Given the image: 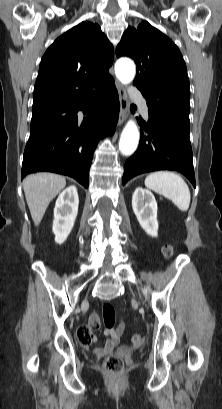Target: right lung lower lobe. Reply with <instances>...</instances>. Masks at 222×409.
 Instances as JSON below:
<instances>
[{
	"mask_svg": "<svg viewBox=\"0 0 222 409\" xmlns=\"http://www.w3.org/2000/svg\"><path fill=\"white\" fill-rule=\"evenodd\" d=\"M119 107L110 76L77 99L33 110L22 179L30 173L50 171L73 177L87 188L94 150L101 137L114 133ZM78 111L86 116L79 117Z\"/></svg>",
	"mask_w": 222,
	"mask_h": 409,
	"instance_id": "1",
	"label": "right lung lower lobe"
}]
</instances>
